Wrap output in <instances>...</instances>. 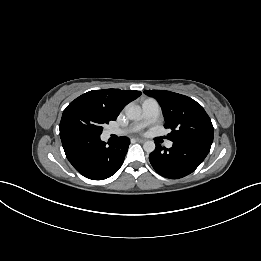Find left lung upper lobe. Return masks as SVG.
<instances>
[{
  "label": "left lung upper lobe",
  "mask_w": 261,
  "mask_h": 261,
  "mask_svg": "<svg viewBox=\"0 0 261 261\" xmlns=\"http://www.w3.org/2000/svg\"><path fill=\"white\" fill-rule=\"evenodd\" d=\"M144 93L154 97L162 107L164 126L171 129V133L167 135L169 140L212 144L213 125L198 102L185 95L165 90H146Z\"/></svg>",
  "instance_id": "left-lung-upper-lobe-1"
}]
</instances>
